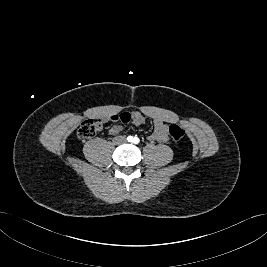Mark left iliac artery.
<instances>
[{
  "instance_id": "1",
  "label": "left iliac artery",
  "mask_w": 267,
  "mask_h": 267,
  "mask_svg": "<svg viewBox=\"0 0 267 267\" xmlns=\"http://www.w3.org/2000/svg\"><path fill=\"white\" fill-rule=\"evenodd\" d=\"M140 142L138 137L133 138V143L138 144Z\"/></svg>"
}]
</instances>
